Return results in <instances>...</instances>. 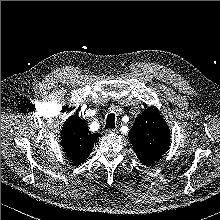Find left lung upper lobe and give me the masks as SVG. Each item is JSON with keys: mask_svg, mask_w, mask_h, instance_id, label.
Segmentation results:
<instances>
[{"mask_svg": "<svg viewBox=\"0 0 220 220\" xmlns=\"http://www.w3.org/2000/svg\"><path fill=\"white\" fill-rule=\"evenodd\" d=\"M129 138L138 158L147 164L158 160L170 145L168 125L153 106L136 118Z\"/></svg>", "mask_w": 220, "mask_h": 220, "instance_id": "left-lung-upper-lobe-1", "label": "left lung upper lobe"}]
</instances>
